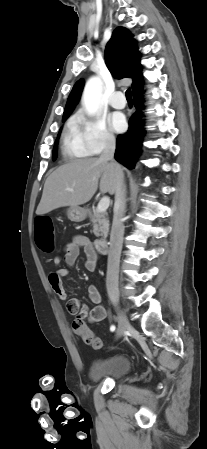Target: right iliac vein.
Returning <instances> with one entry per match:
<instances>
[{
  "instance_id": "obj_1",
  "label": "right iliac vein",
  "mask_w": 207,
  "mask_h": 449,
  "mask_svg": "<svg viewBox=\"0 0 207 449\" xmlns=\"http://www.w3.org/2000/svg\"><path fill=\"white\" fill-rule=\"evenodd\" d=\"M112 302L118 310L119 324L117 329V337H121L127 329L131 328V325L126 315L119 309L118 302L115 299H113Z\"/></svg>"
}]
</instances>
